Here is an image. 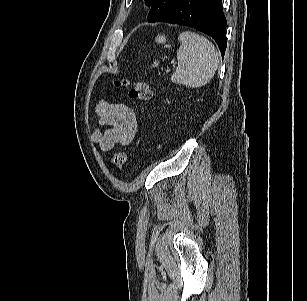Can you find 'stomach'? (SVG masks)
<instances>
[{"label": "stomach", "mask_w": 307, "mask_h": 301, "mask_svg": "<svg viewBox=\"0 0 307 301\" xmlns=\"http://www.w3.org/2000/svg\"><path fill=\"white\" fill-rule=\"evenodd\" d=\"M156 42L157 43H165L166 42V37L164 35H158L156 37Z\"/></svg>", "instance_id": "0dacf381"}]
</instances>
